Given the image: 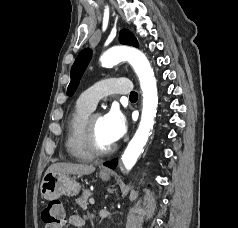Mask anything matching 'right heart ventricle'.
I'll return each instance as SVG.
<instances>
[{
  "mask_svg": "<svg viewBox=\"0 0 238 228\" xmlns=\"http://www.w3.org/2000/svg\"><path fill=\"white\" fill-rule=\"evenodd\" d=\"M91 111L89 106L78 99L66 123V150L71 157L80 161H87L93 157L84 142L85 122Z\"/></svg>",
  "mask_w": 238,
  "mask_h": 228,
  "instance_id": "right-heart-ventricle-1",
  "label": "right heart ventricle"
}]
</instances>
